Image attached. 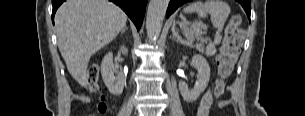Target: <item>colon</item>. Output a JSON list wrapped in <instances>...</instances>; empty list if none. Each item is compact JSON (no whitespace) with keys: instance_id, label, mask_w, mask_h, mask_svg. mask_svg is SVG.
Here are the masks:
<instances>
[{"instance_id":"5ec220e1","label":"colon","mask_w":305,"mask_h":116,"mask_svg":"<svg viewBox=\"0 0 305 116\" xmlns=\"http://www.w3.org/2000/svg\"><path fill=\"white\" fill-rule=\"evenodd\" d=\"M240 23V17L234 16L227 26L225 37L221 46L219 55L217 56L218 78L214 86V96L216 98L223 95L226 86V80L231 75L240 52V40L237 35V27ZM99 67L91 65L87 72V87L91 92L99 91ZM99 113L106 111V103L104 96H100L97 103Z\"/></svg>"}]
</instances>
